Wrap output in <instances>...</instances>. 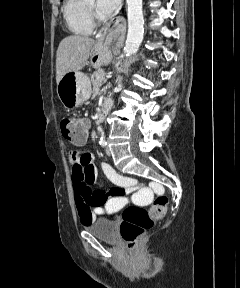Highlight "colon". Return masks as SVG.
Listing matches in <instances>:
<instances>
[{
	"mask_svg": "<svg viewBox=\"0 0 240 288\" xmlns=\"http://www.w3.org/2000/svg\"><path fill=\"white\" fill-rule=\"evenodd\" d=\"M60 127L62 135L73 143L87 137L88 124L84 119L66 116L61 120ZM167 205V197L160 195L148 209L129 206L124 210L120 233L128 248H134L146 231L165 215Z\"/></svg>",
	"mask_w": 240,
	"mask_h": 288,
	"instance_id": "obj_1",
	"label": "colon"
}]
</instances>
